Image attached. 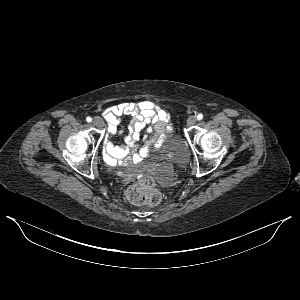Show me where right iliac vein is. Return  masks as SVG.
Returning a JSON list of instances; mask_svg holds the SVG:
<instances>
[{"label": "right iliac vein", "instance_id": "63e3f726", "mask_svg": "<svg viewBox=\"0 0 300 300\" xmlns=\"http://www.w3.org/2000/svg\"><path fill=\"white\" fill-rule=\"evenodd\" d=\"M93 124L96 126V127H101L103 125V120L99 117V116H95L93 118Z\"/></svg>", "mask_w": 300, "mask_h": 300}]
</instances>
